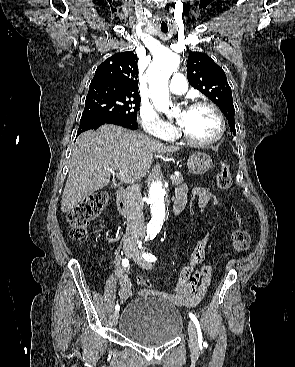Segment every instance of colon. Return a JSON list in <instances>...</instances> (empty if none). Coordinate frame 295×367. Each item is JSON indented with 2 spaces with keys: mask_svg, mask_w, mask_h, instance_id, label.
<instances>
[{
  "mask_svg": "<svg viewBox=\"0 0 295 367\" xmlns=\"http://www.w3.org/2000/svg\"><path fill=\"white\" fill-rule=\"evenodd\" d=\"M232 184V177L230 167L228 163L222 162L220 164L217 176L216 185L219 189H229ZM195 195L189 196L188 206L186 211L195 212L197 211V204ZM209 205L217 206L220 202L218 195H212L209 198ZM109 201V194L107 191L100 190L86 197L81 201L69 214L67 215V221L69 224V235L71 239L77 242L83 241L87 236V228L89 224L101 214L105 209ZM233 213L238 220V214L233 210ZM250 235L249 233L239 227L232 234L233 248L237 253L245 252L250 246ZM140 284L145 288L146 293H150V280L145 277L139 278Z\"/></svg>",
  "mask_w": 295,
  "mask_h": 367,
  "instance_id": "obj_1",
  "label": "colon"
}]
</instances>
